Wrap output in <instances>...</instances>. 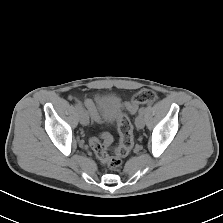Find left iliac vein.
<instances>
[{
    "label": "left iliac vein",
    "instance_id": "4c4485c4",
    "mask_svg": "<svg viewBox=\"0 0 223 223\" xmlns=\"http://www.w3.org/2000/svg\"><path fill=\"white\" fill-rule=\"evenodd\" d=\"M144 118L142 115H138L136 118H135V125L138 129H142L144 127Z\"/></svg>",
    "mask_w": 223,
    "mask_h": 223
}]
</instances>
